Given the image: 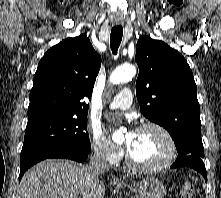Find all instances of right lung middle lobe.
I'll return each instance as SVG.
<instances>
[{
  "mask_svg": "<svg viewBox=\"0 0 221 198\" xmlns=\"http://www.w3.org/2000/svg\"><path fill=\"white\" fill-rule=\"evenodd\" d=\"M87 115H54L28 121L20 161L55 146L91 151L87 132Z\"/></svg>",
  "mask_w": 221,
  "mask_h": 198,
  "instance_id": "right-lung-middle-lobe-1",
  "label": "right lung middle lobe"
}]
</instances>
